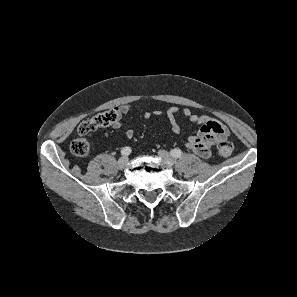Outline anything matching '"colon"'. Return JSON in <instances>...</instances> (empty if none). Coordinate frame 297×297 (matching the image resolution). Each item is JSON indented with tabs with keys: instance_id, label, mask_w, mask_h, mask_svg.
Instances as JSON below:
<instances>
[{
	"instance_id": "5ec220e1",
	"label": "colon",
	"mask_w": 297,
	"mask_h": 297,
	"mask_svg": "<svg viewBox=\"0 0 297 297\" xmlns=\"http://www.w3.org/2000/svg\"><path fill=\"white\" fill-rule=\"evenodd\" d=\"M118 119L119 113L113 109L98 113L82 122L78 127L79 137L73 140L70 145L71 153L76 157H85L90 151V143L85 136L99 128L114 124ZM217 150L220 156L228 157L233 151V145L229 141H221L217 145Z\"/></svg>"
}]
</instances>
